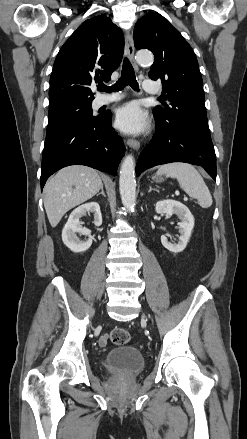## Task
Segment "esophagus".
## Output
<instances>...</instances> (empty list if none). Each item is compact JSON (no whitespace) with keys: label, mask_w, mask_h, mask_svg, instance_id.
Listing matches in <instances>:
<instances>
[{"label":"esophagus","mask_w":247,"mask_h":439,"mask_svg":"<svg viewBox=\"0 0 247 439\" xmlns=\"http://www.w3.org/2000/svg\"><path fill=\"white\" fill-rule=\"evenodd\" d=\"M134 52H135V47H134L133 36L131 33H127L125 37V53L128 59L132 62L134 69L138 71V65L134 60ZM127 145L136 151H138L140 148V142L134 139H128Z\"/></svg>","instance_id":"34e87169"}]
</instances>
